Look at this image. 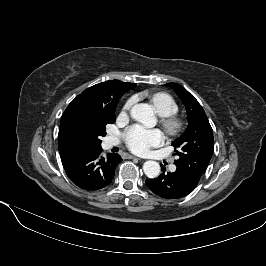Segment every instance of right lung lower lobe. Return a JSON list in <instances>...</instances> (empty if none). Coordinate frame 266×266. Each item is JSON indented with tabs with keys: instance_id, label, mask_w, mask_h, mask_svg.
Instances as JSON below:
<instances>
[{
	"instance_id": "right-lung-lower-lobe-1",
	"label": "right lung lower lobe",
	"mask_w": 266,
	"mask_h": 266,
	"mask_svg": "<svg viewBox=\"0 0 266 266\" xmlns=\"http://www.w3.org/2000/svg\"><path fill=\"white\" fill-rule=\"evenodd\" d=\"M101 152V147L89 148L61 159L67 176L76 186L95 191L111 183L122 159L118 154L102 157Z\"/></svg>"
}]
</instances>
